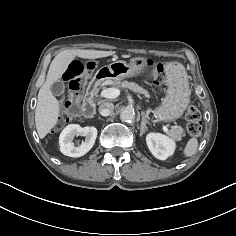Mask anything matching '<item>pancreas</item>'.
<instances>
[{
  "label": "pancreas",
  "instance_id": "1",
  "mask_svg": "<svg viewBox=\"0 0 236 236\" xmlns=\"http://www.w3.org/2000/svg\"><path fill=\"white\" fill-rule=\"evenodd\" d=\"M116 87L119 89H130L135 93L143 94L146 97L149 96L148 92L145 89H143L134 82H128V81L118 82L116 83ZM169 135L179 140L183 136H185L184 129L181 126H175L173 129L169 131Z\"/></svg>",
  "mask_w": 236,
  "mask_h": 236
}]
</instances>
